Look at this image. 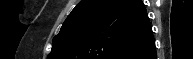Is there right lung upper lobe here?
<instances>
[{
    "instance_id": "cb5924a9",
    "label": "right lung upper lobe",
    "mask_w": 193,
    "mask_h": 59,
    "mask_svg": "<svg viewBox=\"0 0 193 59\" xmlns=\"http://www.w3.org/2000/svg\"><path fill=\"white\" fill-rule=\"evenodd\" d=\"M152 35L142 0H82L54 37L48 59H123Z\"/></svg>"
}]
</instances>
